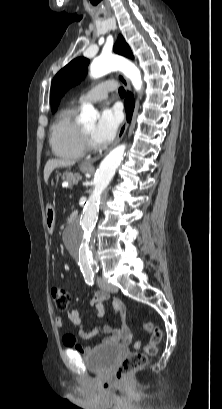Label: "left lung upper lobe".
Wrapping results in <instances>:
<instances>
[{"label": "left lung upper lobe", "instance_id": "5c2ea615", "mask_svg": "<svg viewBox=\"0 0 222 409\" xmlns=\"http://www.w3.org/2000/svg\"><path fill=\"white\" fill-rule=\"evenodd\" d=\"M114 51L118 54L133 58L130 47L125 43L120 35L114 46ZM89 60L78 57L61 69L54 77L51 84V108L55 112L60 101V97L72 86L78 84L87 73Z\"/></svg>", "mask_w": 222, "mask_h": 409}]
</instances>
